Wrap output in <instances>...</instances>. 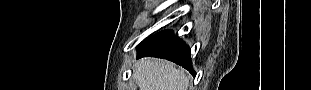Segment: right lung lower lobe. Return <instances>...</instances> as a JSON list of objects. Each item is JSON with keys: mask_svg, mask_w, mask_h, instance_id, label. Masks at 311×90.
<instances>
[{"mask_svg": "<svg viewBox=\"0 0 311 90\" xmlns=\"http://www.w3.org/2000/svg\"><path fill=\"white\" fill-rule=\"evenodd\" d=\"M152 56L170 60L193 72L190 50L173 31L166 30L156 33L138 45V57Z\"/></svg>", "mask_w": 311, "mask_h": 90, "instance_id": "obj_1", "label": "right lung lower lobe"}]
</instances>
